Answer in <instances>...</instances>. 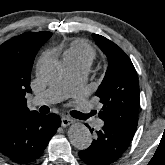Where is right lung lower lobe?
Instances as JSON below:
<instances>
[{"instance_id":"1","label":"right lung lower lobe","mask_w":165,"mask_h":165,"mask_svg":"<svg viewBox=\"0 0 165 165\" xmlns=\"http://www.w3.org/2000/svg\"><path fill=\"white\" fill-rule=\"evenodd\" d=\"M61 125L58 115L34 113L0 130V152L19 164L38 159Z\"/></svg>"}]
</instances>
